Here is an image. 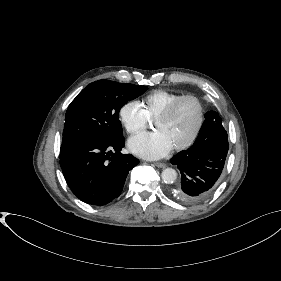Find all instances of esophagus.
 I'll return each mask as SVG.
<instances>
[{
	"mask_svg": "<svg viewBox=\"0 0 281 281\" xmlns=\"http://www.w3.org/2000/svg\"><path fill=\"white\" fill-rule=\"evenodd\" d=\"M154 165L158 168H164L166 166L164 163H161V162H156V163H154Z\"/></svg>",
	"mask_w": 281,
	"mask_h": 281,
	"instance_id": "obj_1",
	"label": "esophagus"
}]
</instances>
